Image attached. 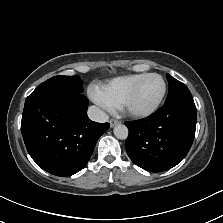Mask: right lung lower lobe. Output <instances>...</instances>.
Here are the masks:
<instances>
[{"label": "right lung lower lobe", "instance_id": "obj_1", "mask_svg": "<svg viewBox=\"0 0 223 223\" xmlns=\"http://www.w3.org/2000/svg\"><path fill=\"white\" fill-rule=\"evenodd\" d=\"M88 99L66 93L25 103L21 132L32 159L56 176H70L85 167L109 123L87 116Z\"/></svg>", "mask_w": 223, "mask_h": 223}]
</instances>
